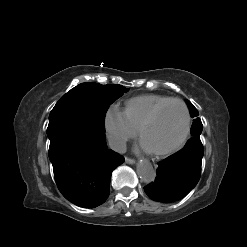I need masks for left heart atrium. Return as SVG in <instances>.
Returning <instances> with one entry per match:
<instances>
[{"label":"left heart atrium","instance_id":"obj_1","mask_svg":"<svg viewBox=\"0 0 247 247\" xmlns=\"http://www.w3.org/2000/svg\"><path fill=\"white\" fill-rule=\"evenodd\" d=\"M140 147H141V149H143V150H145V151H150V150L148 149V147H147L143 142L140 143Z\"/></svg>","mask_w":247,"mask_h":247}]
</instances>
